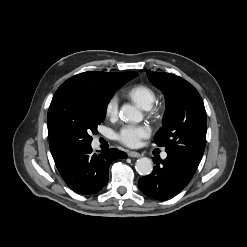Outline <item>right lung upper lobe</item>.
Here are the masks:
<instances>
[{"label": "right lung upper lobe", "instance_id": "right-lung-upper-lobe-1", "mask_svg": "<svg viewBox=\"0 0 247 247\" xmlns=\"http://www.w3.org/2000/svg\"><path fill=\"white\" fill-rule=\"evenodd\" d=\"M138 74L136 72H121V73H106V72H84L75 75L66 80L57 90H86L96 92L102 95L114 94L127 81L133 79ZM50 150L53 159L56 162L60 161L73 149L65 146L60 142L50 127H48Z\"/></svg>", "mask_w": 247, "mask_h": 247}]
</instances>
